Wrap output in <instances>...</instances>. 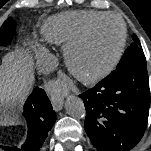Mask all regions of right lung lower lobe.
Wrapping results in <instances>:
<instances>
[{
  "mask_svg": "<svg viewBox=\"0 0 151 151\" xmlns=\"http://www.w3.org/2000/svg\"><path fill=\"white\" fill-rule=\"evenodd\" d=\"M23 116L28 125V136L21 148L0 146L5 151H39L57 115L45 91L35 88L24 105Z\"/></svg>",
  "mask_w": 151,
  "mask_h": 151,
  "instance_id": "98d812e1",
  "label": "right lung lower lobe"
}]
</instances>
